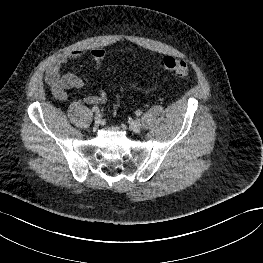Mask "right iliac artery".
<instances>
[{
    "instance_id": "right-iliac-artery-1",
    "label": "right iliac artery",
    "mask_w": 263,
    "mask_h": 263,
    "mask_svg": "<svg viewBox=\"0 0 263 263\" xmlns=\"http://www.w3.org/2000/svg\"><path fill=\"white\" fill-rule=\"evenodd\" d=\"M92 110H93L94 112H98V111H99V108H98L97 106H94V107L92 108Z\"/></svg>"
}]
</instances>
